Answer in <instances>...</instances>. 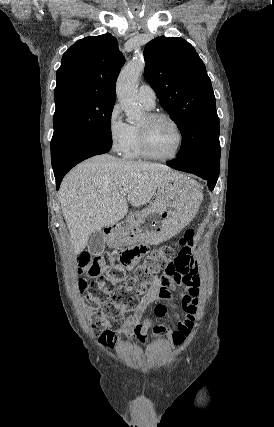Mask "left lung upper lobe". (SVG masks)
Here are the masks:
<instances>
[{
    "label": "left lung upper lobe",
    "mask_w": 274,
    "mask_h": 427,
    "mask_svg": "<svg viewBox=\"0 0 274 427\" xmlns=\"http://www.w3.org/2000/svg\"><path fill=\"white\" fill-rule=\"evenodd\" d=\"M145 79L182 135L178 159L220 156L219 118L205 65L183 38L161 36L144 50Z\"/></svg>",
    "instance_id": "1"
}]
</instances>
